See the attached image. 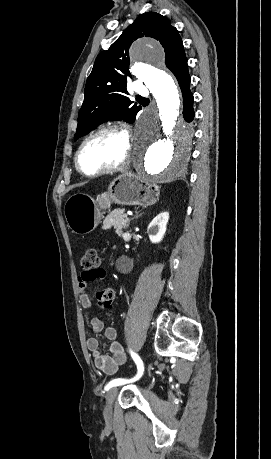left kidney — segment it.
Listing matches in <instances>:
<instances>
[{"label": "left kidney", "mask_w": 271, "mask_h": 459, "mask_svg": "<svg viewBox=\"0 0 271 459\" xmlns=\"http://www.w3.org/2000/svg\"><path fill=\"white\" fill-rule=\"evenodd\" d=\"M168 220V212H161V214H158V216H156V218H153L152 222H150L147 228V233L152 243H159V241H162L165 235Z\"/></svg>", "instance_id": "1"}]
</instances>
